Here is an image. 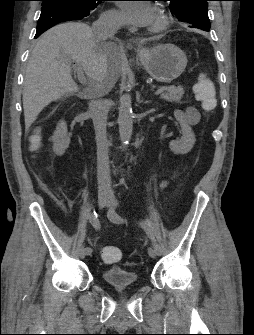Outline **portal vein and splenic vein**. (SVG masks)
Wrapping results in <instances>:
<instances>
[{
	"label": "portal vein and splenic vein",
	"instance_id": "obj_1",
	"mask_svg": "<svg viewBox=\"0 0 254 335\" xmlns=\"http://www.w3.org/2000/svg\"><path fill=\"white\" fill-rule=\"evenodd\" d=\"M75 70L77 71V78L78 81L82 84V85H86L87 84V79L84 75L82 66L80 63H75L74 66ZM163 92V88H159L156 90L155 95L158 96L159 94H161Z\"/></svg>",
	"mask_w": 254,
	"mask_h": 335
}]
</instances>
